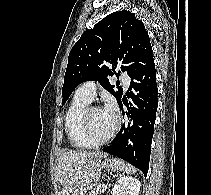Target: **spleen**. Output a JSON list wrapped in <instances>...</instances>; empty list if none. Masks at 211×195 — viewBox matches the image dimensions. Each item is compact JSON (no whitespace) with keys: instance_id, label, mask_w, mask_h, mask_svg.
Here are the masks:
<instances>
[{"instance_id":"spleen-1","label":"spleen","mask_w":211,"mask_h":195,"mask_svg":"<svg viewBox=\"0 0 211 195\" xmlns=\"http://www.w3.org/2000/svg\"><path fill=\"white\" fill-rule=\"evenodd\" d=\"M135 171H136V169H135L132 165L127 164V165L125 166V172H126L127 174L135 173Z\"/></svg>"}]
</instances>
